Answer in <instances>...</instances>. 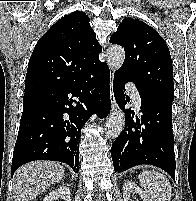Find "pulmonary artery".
Here are the masks:
<instances>
[{
  "label": "pulmonary artery",
  "mask_w": 196,
  "mask_h": 201,
  "mask_svg": "<svg viewBox=\"0 0 196 201\" xmlns=\"http://www.w3.org/2000/svg\"><path fill=\"white\" fill-rule=\"evenodd\" d=\"M128 88L130 89V94H131V97H132V99L134 101L135 106L137 108H139L140 105H141V100H140V95H139L137 89L132 84H129Z\"/></svg>",
  "instance_id": "obj_1"
}]
</instances>
